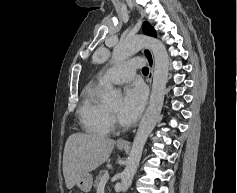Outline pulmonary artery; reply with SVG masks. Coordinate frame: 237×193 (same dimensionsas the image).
<instances>
[{
    "label": "pulmonary artery",
    "instance_id": "e3ab8cb5",
    "mask_svg": "<svg viewBox=\"0 0 237 193\" xmlns=\"http://www.w3.org/2000/svg\"><path fill=\"white\" fill-rule=\"evenodd\" d=\"M144 60L140 57L121 63L101 74L98 79L101 83L123 84L133 79L137 69L142 67Z\"/></svg>",
    "mask_w": 237,
    "mask_h": 193
}]
</instances>
